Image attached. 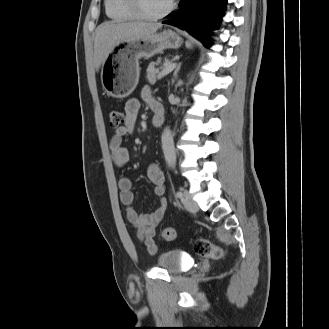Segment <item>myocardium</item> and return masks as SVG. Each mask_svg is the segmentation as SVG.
Wrapping results in <instances>:
<instances>
[{
  "mask_svg": "<svg viewBox=\"0 0 329 329\" xmlns=\"http://www.w3.org/2000/svg\"><path fill=\"white\" fill-rule=\"evenodd\" d=\"M125 1L127 3V6L130 8V10L133 12V14L136 16L137 19L147 22H155L165 18L174 10L175 7L174 0H171L170 4L164 11L156 15H149L143 11L142 6L140 4V0H125Z\"/></svg>",
  "mask_w": 329,
  "mask_h": 329,
  "instance_id": "f54148a6",
  "label": "myocardium"
}]
</instances>
